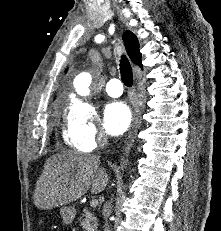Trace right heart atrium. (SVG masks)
<instances>
[{"label": "right heart atrium", "instance_id": "1", "mask_svg": "<svg viewBox=\"0 0 221 231\" xmlns=\"http://www.w3.org/2000/svg\"><path fill=\"white\" fill-rule=\"evenodd\" d=\"M98 123L93 104L83 99L73 101L66 111L65 140L77 150H94L106 141Z\"/></svg>", "mask_w": 221, "mask_h": 231}]
</instances>
